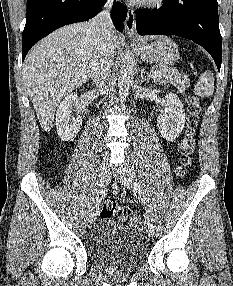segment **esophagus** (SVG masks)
<instances>
[{"label": "esophagus", "mask_w": 233, "mask_h": 286, "mask_svg": "<svg viewBox=\"0 0 233 286\" xmlns=\"http://www.w3.org/2000/svg\"><path fill=\"white\" fill-rule=\"evenodd\" d=\"M125 30L128 35L135 36L136 28H135V14L132 8H128L126 21H125Z\"/></svg>", "instance_id": "esophagus-1"}]
</instances>
